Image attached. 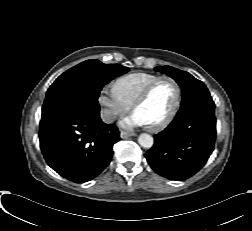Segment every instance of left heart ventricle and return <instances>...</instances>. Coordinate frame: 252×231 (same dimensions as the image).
Here are the masks:
<instances>
[{
	"mask_svg": "<svg viewBox=\"0 0 252 231\" xmlns=\"http://www.w3.org/2000/svg\"><path fill=\"white\" fill-rule=\"evenodd\" d=\"M175 102V87L168 81L159 82L148 99L135 109L147 126L162 121L171 111Z\"/></svg>",
	"mask_w": 252,
	"mask_h": 231,
	"instance_id": "b2bd125f",
	"label": "left heart ventricle"
}]
</instances>
